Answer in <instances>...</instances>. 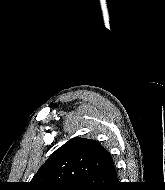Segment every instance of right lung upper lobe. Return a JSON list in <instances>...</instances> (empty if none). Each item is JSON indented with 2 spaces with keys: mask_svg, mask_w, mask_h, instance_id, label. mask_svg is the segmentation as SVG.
I'll list each match as a JSON object with an SVG mask.
<instances>
[{
  "mask_svg": "<svg viewBox=\"0 0 165 190\" xmlns=\"http://www.w3.org/2000/svg\"><path fill=\"white\" fill-rule=\"evenodd\" d=\"M111 156L98 142L75 137L57 149L39 168L27 190H51L77 183L94 169L110 162Z\"/></svg>",
  "mask_w": 165,
  "mask_h": 190,
  "instance_id": "obj_1",
  "label": "right lung upper lobe"
}]
</instances>
